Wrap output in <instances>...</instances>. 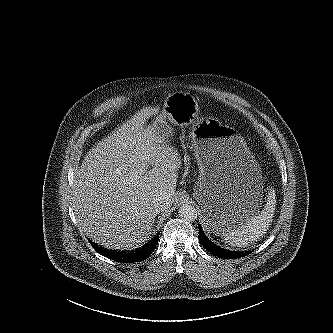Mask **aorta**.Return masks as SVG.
Segmentation results:
<instances>
[{"label": "aorta", "instance_id": "aorta-1", "mask_svg": "<svg viewBox=\"0 0 333 333\" xmlns=\"http://www.w3.org/2000/svg\"><path fill=\"white\" fill-rule=\"evenodd\" d=\"M178 215L180 218L184 219L185 221L191 222L196 220L197 211L193 206L184 204L179 208Z\"/></svg>", "mask_w": 333, "mask_h": 333}]
</instances>
